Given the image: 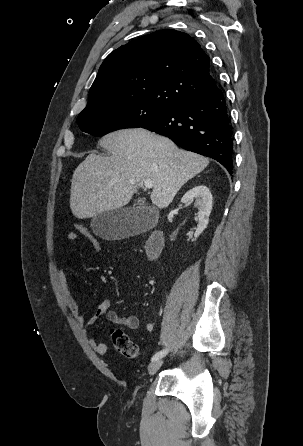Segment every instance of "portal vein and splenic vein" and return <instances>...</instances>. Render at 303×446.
Listing matches in <instances>:
<instances>
[{
    "mask_svg": "<svg viewBox=\"0 0 303 446\" xmlns=\"http://www.w3.org/2000/svg\"><path fill=\"white\" fill-rule=\"evenodd\" d=\"M144 186L148 189L153 187V182L151 180H145L144 181Z\"/></svg>",
    "mask_w": 303,
    "mask_h": 446,
    "instance_id": "18ae733b",
    "label": "portal vein and splenic vein"
}]
</instances>
